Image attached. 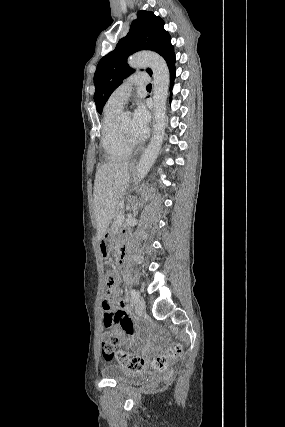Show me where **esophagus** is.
I'll use <instances>...</instances> for the list:
<instances>
[{
	"label": "esophagus",
	"mask_w": 285,
	"mask_h": 427,
	"mask_svg": "<svg viewBox=\"0 0 285 427\" xmlns=\"http://www.w3.org/2000/svg\"><path fill=\"white\" fill-rule=\"evenodd\" d=\"M154 113V110L152 111ZM137 163V161H133V164Z\"/></svg>",
	"instance_id": "obj_1"
}]
</instances>
